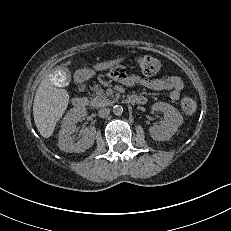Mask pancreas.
Masks as SVG:
<instances>
[{
    "instance_id": "pancreas-1",
    "label": "pancreas",
    "mask_w": 231,
    "mask_h": 231,
    "mask_svg": "<svg viewBox=\"0 0 231 231\" xmlns=\"http://www.w3.org/2000/svg\"><path fill=\"white\" fill-rule=\"evenodd\" d=\"M93 90L95 91V96L90 98V105L92 107H104L112 103V100L104 93V90L96 85Z\"/></svg>"
}]
</instances>
